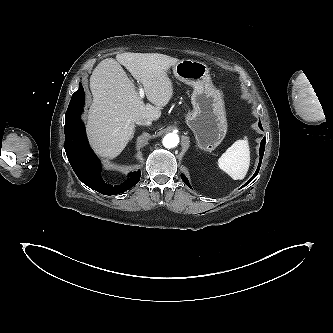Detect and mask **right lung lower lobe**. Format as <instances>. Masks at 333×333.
I'll return each mask as SVG.
<instances>
[{"instance_id":"1","label":"right lung lower lobe","mask_w":333,"mask_h":333,"mask_svg":"<svg viewBox=\"0 0 333 333\" xmlns=\"http://www.w3.org/2000/svg\"><path fill=\"white\" fill-rule=\"evenodd\" d=\"M85 102L84 89L73 94L65 114V151L67 158L80 181L85 185L105 195H115L133 187L140 180V171L129 173L124 185L112 186L106 184L101 177L100 160L90 148L85 127L81 121V112Z\"/></svg>"}]
</instances>
